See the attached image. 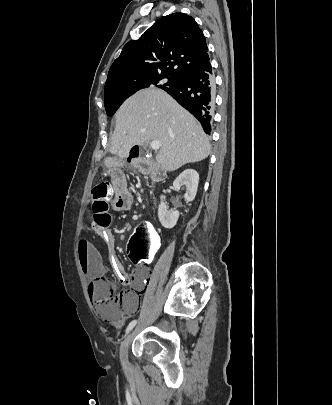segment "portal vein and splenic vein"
I'll use <instances>...</instances> for the list:
<instances>
[{
    "label": "portal vein and splenic vein",
    "instance_id": "obj_1",
    "mask_svg": "<svg viewBox=\"0 0 332 405\" xmlns=\"http://www.w3.org/2000/svg\"><path fill=\"white\" fill-rule=\"evenodd\" d=\"M160 147H161V143L159 142V141H152L151 142V148L153 149V150H159L160 149Z\"/></svg>",
    "mask_w": 332,
    "mask_h": 405
}]
</instances>
